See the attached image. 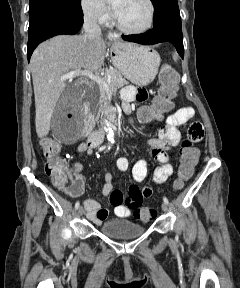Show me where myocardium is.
Returning <instances> with one entry per match:
<instances>
[{
  "label": "myocardium",
  "mask_w": 240,
  "mask_h": 288,
  "mask_svg": "<svg viewBox=\"0 0 240 288\" xmlns=\"http://www.w3.org/2000/svg\"><path fill=\"white\" fill-rule=\"evenodd\" d=\"M148 6H149V9H150V17H149V21L147 23V25L143 28H140V29H131V28H128L127 26H125L122 21L120 20V18L118 17V15L115 17V22H116V25L117 27L125 32V33H128V34H142V33H145L147 31H149L153 25H154V20H155V5L153 3L152 0H146Z\"/></svg>",
  "instance_id": "obj_1"
}]
</instances>
